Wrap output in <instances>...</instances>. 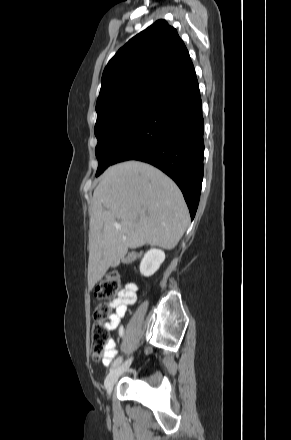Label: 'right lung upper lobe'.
Returning a JSON list of instances; mask_svg holds the SVG:
<instances>
[{
  "mask_svg": "<svg viewBox=\"0 0 291 440\" xmlns=\"http://www.w3.org/2000/svg\"><path fill=\"white\" fill-rule=\"evenodd\" d=\"M193 71L176 29L158 20L130 39L109 61L96 108L139 96L156 97Z\"/></svg>",
  "mask_w": 291,
  "mask_h": 440,
  "instance_id": "obj_1",
  "label": "right lung upper lobe"
}]
</instances>
